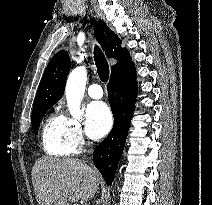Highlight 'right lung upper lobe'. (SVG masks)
<instances>
[{
    "label": "right lung upper lobe",
    "mask_w": 212,
    "mask_h": 205,
    "mask_svg": "<svg viewBox=\"0 0 212 205\" xmlns=\"http://www.w3.org/2000/svg\"><path fill=\"white\" fill-rule=\"evenodd\" d=\"M95 36L109 58L117 63L112 66L111 73L129 64L131 57L126 48L121 47V40L110 30L103 20L95 23ZM70 70V58L66 51H59L48 63L41 79L34 100L33 108L42 105H54L64 93L66 77Z\"/></svg>",
    "instance_id": "obj_1"
}]
</instances>
